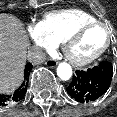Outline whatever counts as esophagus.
<instances>
[{
    "label": "esophagus",
    "mask_w": 117,
    "mask_h": 117,
    "mask_svg": "<svg viewBox=\"0 0 117 117\" xmlns=\"http://www.w3.org/2000/svg\"><path fill=\"white\" fill-rule=\"evenodd\" d=\"M46 66L50 67V68H53L55 67L58 62L54 59H48L46 62H45Z\"/></svg>",
    "instance_id": "1"
}]
</instances>
